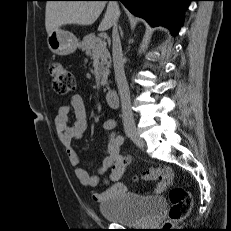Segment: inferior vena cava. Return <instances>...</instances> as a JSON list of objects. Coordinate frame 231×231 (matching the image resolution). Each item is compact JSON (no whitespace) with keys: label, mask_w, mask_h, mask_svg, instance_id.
<instances>
[{"label":"inferior vena cava","mask_w":231,"mask_h":231,"mask_svg":"<svg viewBox=\"0 0 231 231\" xmlns=\"http://www.w3.org/2000/svg\"><path fill=\"white\" fill-rule=\"evenodd\" d=\"M116 5L117 3L114 2ZM112 55L115 72V80L117 82L118 91L121 98L122 121L124 126H134V118L131 110L130 91L124 73L123 54L121 41L117 29V24L114 23L112 30Z\"/></svg>","instance_id":"obj_1"}]
</instances>
